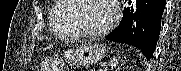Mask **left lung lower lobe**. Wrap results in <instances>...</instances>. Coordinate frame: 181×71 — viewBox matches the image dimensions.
<instances>
[{"instance_id": "1", "label": "left lung lower lobe", "mask_w": 181, "mask_h": 71, "mask_svg": "<svg viewBox=\"0 0 181 71\" xmlns=\"http://www.w3.org/2000/svg\"><path fill=\"white\" fill-rule=\"evenodd\" d=\"M128 4L121 24L106 39L132 45L149 60L159 38L166 0H129Z\"/></svg>"}]
</instances>
